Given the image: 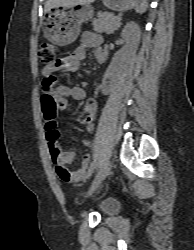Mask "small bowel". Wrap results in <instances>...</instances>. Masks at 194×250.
Wrapping results in <instances>:
<instances>
[{
	"instance_id": "small-bowel-1",
	"label": "small bowel",
	"mask_w": 194,
	"mask_h": 250,
	"mask_svg": "<svg viewBox=\"0 0 194 250\" xmlns=\"http://www.w3.org/2000/svg\"><path fill=\"white\" fill-rule=\"evenodd\" d=\"M102 38L100 35L92 32H85L81 36L80 44L75 50L68 56L58 61L56 66H47L43 69V88L48 91L60 105L64 106L67 99L83 100L85 98V90L79 85L72 86H60L52 90L53 83L47 84L46 79L54 77L56 72H77L81 68L82 61L86 57V53L89 49L94 50L95 58L98 62H104L106 59V53L102 48ZM101 88L106 90L108 88V81L103 78L101 81ZM98 109V102L95 99H89L86 101L80 116L79 121L86 125L88 132L93 129V121ZM45 120V129L47 134V140L49 142V151L53 162L56 165H62L66 167L74 161L75 154L71 151L61 150L58 144V130L56 128V113L53 116L43 115ZM83 143L88 145V141L84 140ZM91 161V156L85 154L82 158L81 166L76 171L70 172V178L64 181L81 182L86 180L87 171Z\"/></svg>"
}]
</instances>
